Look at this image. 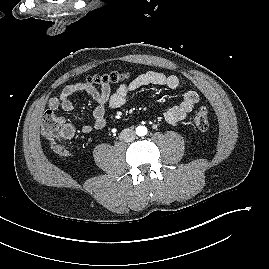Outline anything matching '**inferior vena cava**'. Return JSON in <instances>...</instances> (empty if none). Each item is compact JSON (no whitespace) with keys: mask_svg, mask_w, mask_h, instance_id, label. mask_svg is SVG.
<instances>
[{"mask_svg":"<svg viewBox=\"0 0 269 269\" xmlns=\"http://www.w3.org/2000/svg\"><path fill=\"white\" fill-rule=\"evenodd\" d=\"M119 137L120 140H123L125 142H132L135 139L136 134L134 130L127 128L122 130Z\"/></svg>","mask_w":269,"mask_h":269,"instance_id":"1","label":"inferior vena cava"}]
</instances>
